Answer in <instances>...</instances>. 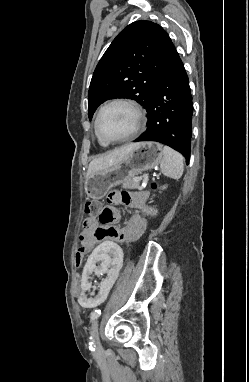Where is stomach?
Listing matches in <instances>:
<instances>
[{"label":"stomach","instance_id":"0dacf381","mask_svg":"<svg viewBox=\"0 0 249 382\" xmlns=\"http://www.w3.org/2000/svg\"><path fill=\"white\" fill-rule=\"evenodd\" d=\"M163 148L157 142L136 143L135 147L117 164L93 173L85 182V192L92 199L103 198L110 188L126 178L159 165Z\"/></svg>","mask_w":249,"mask_h":382}]
</instances>
